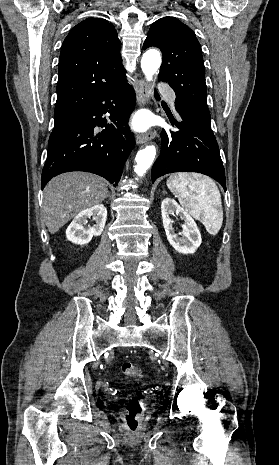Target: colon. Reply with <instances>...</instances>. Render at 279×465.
Instances as JSON below:
<instances>
[{
    "label": "colon",
    "mask_w": 279,
    "mask_h": 465,
    "mask_svg": "<svg viewBox=\"0 0 279 465\" xmlns=\"http://www.w3.org/2000/svg\"><path fill=\"white\" fill-rule=\"evenodd\" d=\"M121 370L127 376H142V371L130 362L122 363ZM142 409V403L138 399H129L125 404L123 418L127 429L132 433L136 432L139 428Z\"/></svg>",
    "instance_id": "1"
}]
</instances>
